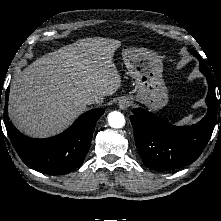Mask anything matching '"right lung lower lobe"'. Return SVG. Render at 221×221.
Returning a JSON list of instances; mask_svg holds the SVG:
<instances>
[{
    "label": "right lung lower lobe",
    "instance_id": "obj_1",
    "mask_svg": "<svg viewBox=\"0 0 221 221\" xmlns=\"http://www.w3.org/2000/svg\"><path fill=\"white\" fill-rule=\"evenodd\" d=\"M8 95L9 88L5 96L4 124L15 150L27 166L41 173L62 175L83 163L90 148L96 122L104 113V109L98 108L85 112L72 126L57 136L33 139L20 133L9 121Z\"/></svg>",
    "mask_w": 221,
    "mask_h": 221
}]
</instances>
